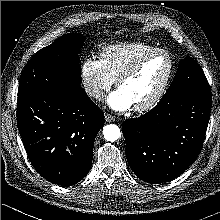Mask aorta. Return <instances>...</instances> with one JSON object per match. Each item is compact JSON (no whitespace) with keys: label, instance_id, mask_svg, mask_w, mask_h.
<instances>
[{"label":"aorta","instance_id":"aorta-1","mask_svg":"<svg viewBox=\"0 0 220 220\" xmlns=\"http://www.w3.org/2000/svg\"><path fill=\"white\" fill-rule=\"evenodd\" d=\"M103 135L107 141L114 142L121 137V132L117 125L109 124L103 128Z\"/></svg>","mask_w":220,"mask_h":220}]
</instances>
